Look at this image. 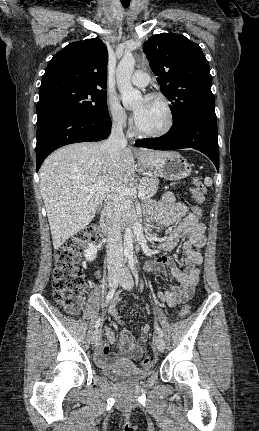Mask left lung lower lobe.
<instances>
[{
  "label": "left lung lower lobe",
  "mask_w": 259,
  "mask_h": 431,
  "mask_svg": "<svg viewBox=\"0 0 259 431\" xmlns=\"http://www.w3.org/2000/svg\"><path fill=\"white\" fill-rule=\"evenodd\" d=\"M217 118L191 114L173 121L171 129L162 137L136 141L141 147L156 150L193 148L208 156L219 171Z\"/></svg>",
  "instance_id": "obj_1"
}]
</instances>
